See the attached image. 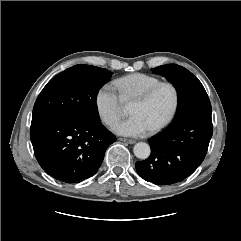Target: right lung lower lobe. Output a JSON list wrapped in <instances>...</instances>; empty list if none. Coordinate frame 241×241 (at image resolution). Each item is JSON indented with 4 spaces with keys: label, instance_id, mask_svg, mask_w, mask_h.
<instances>
[{
    "label": "right lung lower lobe",
    "instance_id": "98d812e1",
    "mask_svg": "<svg viewBox=\"0 0 241 241\" xmlns=\"http://www.w3.org/2000/svg\"><path fill=\"white\" fill-rule=\"evenodd\" d=\"M30 138L43 170L64 183L93 176L115 135L101 122L69 116H47L31 122Z\"/></svg>",
    "mask_w": 241,
    "mask_h": 241
}]
</instances>
